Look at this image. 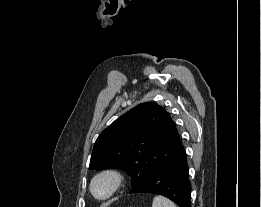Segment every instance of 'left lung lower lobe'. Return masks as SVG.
I'll return each mask as SVG.
<instances>
[{
    "mask_svg": "<svg viewBox=\"0 0 261 207\" xmlns=\"http://www.w3.org/2000/svg\"><path fill=\"white\" fill-rule=\"evenodd\" d=\"M129 193H153L165 196L180 207H191L187 154L182 151L136 184Z\"/></svg>",
    "mask_w": 261,
    "mask_h": 207,
    "instance_id": "1",
    "label": "left lung lower lobe"
}]
</instances>
